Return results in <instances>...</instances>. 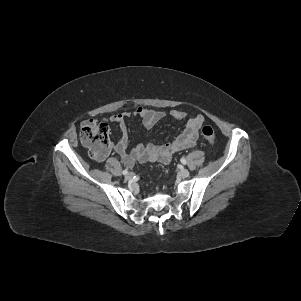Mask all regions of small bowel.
I'll use <instances>...</instances> for the list:
<instances>
[{
    "mask_svg": "<svg viewBox=\"0 0 301 301\" xmlns=\"http://www.w3.org/2000/svg\"><path fill=\"white\" fill-rule=\"evenodd\" d=\"M134 114L141 119L144 127L147 129H151L165 117V113L162 111L144 107H138L134 111ZM128 116V112H123L109 118V122L115 124L121 134L119 140L110 146V151L118 154L121 162L127 167L134 166L136 162L168 163L176 153L196 145L199 138V129L204 122L203 115L196 114L188 119L184 130L172 142L164 145H156L153 143L144 145L139 143L133 149L129 150L126 127V118ZM170 116L175 120L181 121L187 117V113L175 109L170 112ZM103 158L99 160H102Z\"/></svg>",
    "mask_w": 301,
    "mask_h": 301,
    "instance_id": "obj_1",
    "label": "small bowel"
}]
</instances>
